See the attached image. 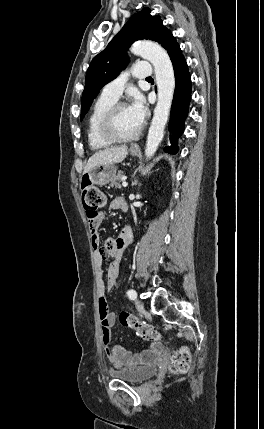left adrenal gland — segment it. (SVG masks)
Returning a JSON list of instances; mask_svg holds the SVG:
<instances>
[{
	"instance_id": "obj_1",
	"label": "left adrenal gland",
	"mask_w": 264,
	"mask_h": 429,
	"mask_svg": "<svg viewBox=\"0 0 264 429\" xmlns=\"http://www.w3.org/2000/svg\"><path fill=\"white\" fill-rule=\"evenodd\" d=\"M133 185H136L137 184V181L136 180H134V182L132 183Z\"/></svg>"
}]
</instances>
